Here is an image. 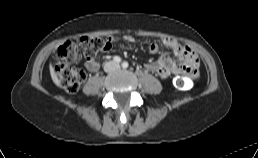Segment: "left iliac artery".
Returning a JSON list of instances; mask_svg holds the SVG:
<instances>
[{
	"label": "left iliac artery",
	"instance_id": "1",
	"mask_svg": "<svg viewBox=\"0 0 258 158\" xmlns=\"http://www.w3.org/2000/svg\"><path fill=\"white\" fill-rule=\"evenodd\" d=\"M122 67H123V68H127V67H128V63L124 61V62L122 63Z\"/></svg>",
	"mask_w": 258,
	"mask_h": 158
}]
</instances>
